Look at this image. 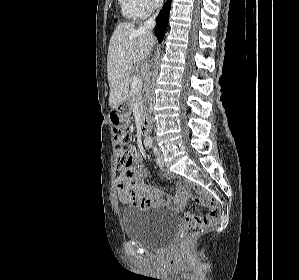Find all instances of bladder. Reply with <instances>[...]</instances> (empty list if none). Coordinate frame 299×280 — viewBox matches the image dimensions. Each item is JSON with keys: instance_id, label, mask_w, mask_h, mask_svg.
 <instances>
[{"instance_id": "bladder-1", "label": "bladder", "mask_w": 299, "mask_h": 280, "mask_svg": "<svg viewBox=\"0 0 299 280\" xmlns=\"http://www.w3.org/2000/svg\"><path fill=\"white\" fill-rule=\"evenodd\" d=\"M122 220L125 236L151 249L167 246L179 223L175 213L160 206L126 211Z\"/></svg>"}]
</instances>
